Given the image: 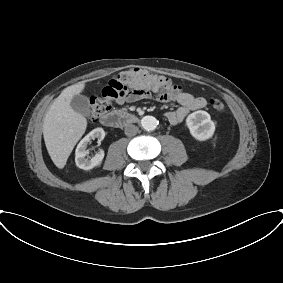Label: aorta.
I'll list each match as a JSON object with an SVG mask.
<instances>
[{
    "instance_id": "obj_1",
    "label": "aorta",
    "mask_w": 283,
    "mask_h": 283,
    "mask_svg": "<svg viewBox=\"0 0 283 283\" xmlns=\"http://www.w3.org/2000/svg\"><path fill=\"white\" fill-rule=\"evenodd\" d=\"M158 125V121L155 117L153 116H145L141 120V126L146 130V131H153L156 129Z\"/></svg>"
}]
</instances>
